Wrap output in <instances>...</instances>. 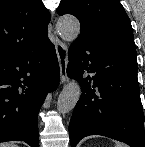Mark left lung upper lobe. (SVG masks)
<instances>
[{"instance_id": "1", "label": "left lung upper lobe", "mask_w": 145, "mask_h": 147, "mask_svg": "<svg viewBox=\"0 0 145 147\" xmlns=\"http://www.w3.org/2000/svg\"><path fill=\"white\" fill-rule=\"evenodd\" d=\"M57 13L77 17L82 37L135 45L131 22L119 0H61Z\"/></svg>"}]
</instances>
